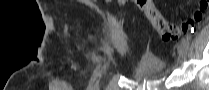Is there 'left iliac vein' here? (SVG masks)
<instances>
[{
    "mask_svg": "<svg viewBox=\"0 0 209 90\" xmlns=\"http://www.w3.org/2000/svg\"><path fill=\"white\" fill-rule=\"evenodd\" d=\"M187 49L188 47L183 44L182 42L178 44L177 50L181 59H185L187 56Z\"/></svg>",
    "mask_w": 209,
    "mask_h": 90,
    "instance_id": "obj_1",
    "label": "left iliac vein"
}]
</instances>
